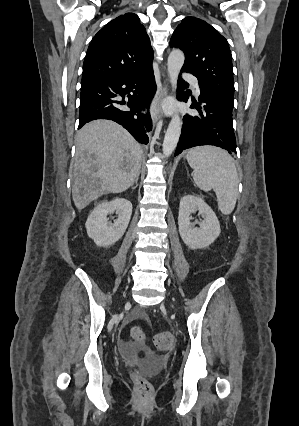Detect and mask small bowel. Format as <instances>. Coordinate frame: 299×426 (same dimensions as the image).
<instances>
[{
    "label": "small bowel",
    "mask_w": 299,
    "mask_h": 426,
    "mask_svg": "<svg viewBox=\"0 0 299 426\" xmlns=\"http://www.w3.org/2000/svg\"><path fill=\"white\" fill-rule=\"evenodd\" d=\"M133 318H144V314L140 311H136L133 316ZM121 351L123 352V354L125 355V357L129 360V361H135L136 357H135V352L138 348V345L135 342H130V341H124L121 343L120 345Z\"/></svg>",
    "instance_id": "c3829d8e"
}]
</instances>
